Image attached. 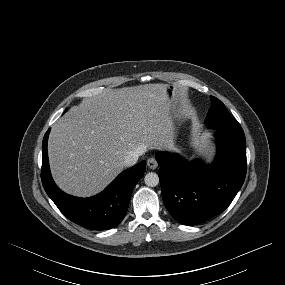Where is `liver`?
I'll use <instances>...</instances> for the list:
<instances>
[{
    "instance_id": "liver-1",
    "label": "liver",
    "mask_w": 285,
    "mask_h": 285,
    "mask_svg": "<svg viewBox=\"0 0 285 285\" xmlns=\"http://www.w3.org/2000/svg\"><path fill=\"white\" fill-rule=\"evenodd\" d=\"M165 84L111 89L85 98L54 125L48 141L51 172L65 192L87 197L124 169V158L172 149L173 104Z\"/></svg>"
}]
</instances>
